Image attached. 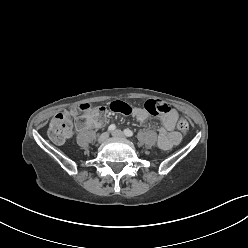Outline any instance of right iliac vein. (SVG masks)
<instances>
[{"mask_svg":"<svg viewBox=\"0 0 248 248\" xmlns=\"http://www.w3.org/2000/svg\"><path fill=\"white\" fill-rule=\"evenodd\" d=\"M108 137H109V134H108L107 132H104V133H102V134L99 136L98 142H99V143H103V142H105V141L108 139Z\"/></svg>","mask_w":248,"mask_h":248,"instance_id":"63e3f726","label":"right iliac vein"}]
</instances>
